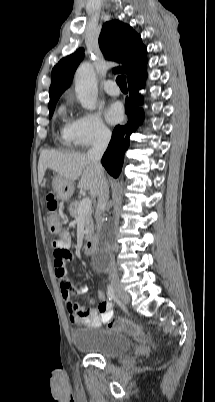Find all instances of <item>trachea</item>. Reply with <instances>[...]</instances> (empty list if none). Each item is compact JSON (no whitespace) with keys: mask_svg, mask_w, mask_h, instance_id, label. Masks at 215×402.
Here are the masks:
<instances>
[{"mask_svg":"<svg viewBox=\"0 0 215 402\" xmlns=\"http://www.w3.org/2000/svg\"><path fill=\"white\" fill-rule=\"evenodd\" d=\"M116 82L121 89H127L126 76H118Z\"/></svg>","mask_w":215,"mask_h":402,"instance_id":"1","label":"trachea"}]
</instances>
